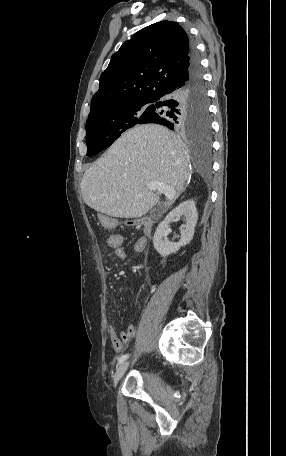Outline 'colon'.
<instances>
[{
  "label": "colon",
  "instance_id": "colon-1",
  "mask_svg": "<svg viewBox=\"0 0 286 456\" xmlns=\"http://www.w3.org/2000/svg\"><path fill=\"white\" fill-rule=\"evenodd\" d=\"M110 242L113 243V244L116 243L117 242V238L115 236H111L110 237Z\"/></svg>",
  "mask_w": 286,
  "mask_h": 456
}]
</instances>
